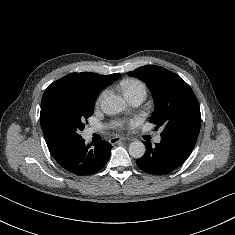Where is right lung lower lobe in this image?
<instances>
[{
	"label": "right lung lower lobe",
	"mask_w": 235,
	"mask_h": 235,
	"mask_svg": "<svg viewBox=\"0 0 235 235\" xmlns=\"http://www.w3.org/2000/svg\"><path fill=\"white\" fill-rule=\"evenodd\" d=\"M85 144L80 137L72 140L58 152L52 154L58 164L67 171L77 175H89L101 170L110 158L111 144L99 141Z\"/></svg>",
	"instance_id": "98d812e1"
}]
</instances>
